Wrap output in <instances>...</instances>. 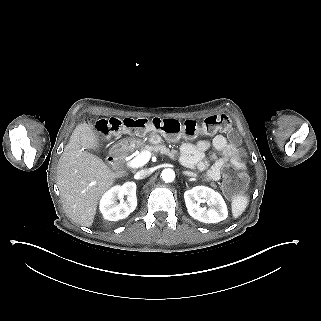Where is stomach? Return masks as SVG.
Masks as SVG:
<instances>
[{"instance_id": "0dacf381", "label": "stomach", "mask_w": 321, "mask_h": 321, "mask_svg": "<svg viewBox=\"0 0 321 321\" xmlns=\"http://www.w3.org/2000/svg\"><path fill=\"white\" fill-rule=\"evenodd\" d=\"M136 140H139V139H136V138H126V139H122L120 141H118L114 147L119 149L121 147H125L131 143H134Z\"/></svg>"}]
</instances>
